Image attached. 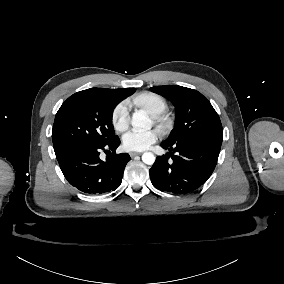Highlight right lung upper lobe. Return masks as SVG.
<instances>
[{"instance_id": "cb5924a9", "label": "right lung upper lobe", "mask_w": 284, "mask_h": 284, "mask_svg": "<svg viewBox=\"0 0 284 284\" xmlns=\"http://www.w3.org/2000/svg\"><path fill=\"white\" fill-rule=\"evenodd\" d=\"M118 103L135 92V88L104 89L97 88Z\"/></svg>"}]
</instances>
